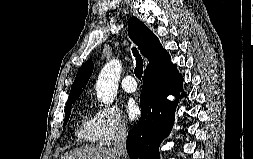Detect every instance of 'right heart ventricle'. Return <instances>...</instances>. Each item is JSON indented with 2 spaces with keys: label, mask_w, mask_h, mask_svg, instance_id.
<instances>
[{
  "label": "right heart ventricle",
  "mask_w": 253,
  "mask_h": 159,
  "mask_svg": "<svg viewBox=\"0 0 253 159\" xmlns=\"http://www.w3.org/2000/svg\"><path fill=\"white\" fill-rule=\"evenodd\" d=\"M76 140L82 144L99 143L98 129L94 120L88 113H83L75 128Z\"/></svg>",
  "instance_id": "e07e8e85"
}]
</instances>
